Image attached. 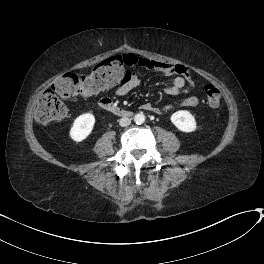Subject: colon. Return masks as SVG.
I'll use <instances>...</instances> for the list:
<instances>
[{
  "label": "colon",
  "instance_id": "5ec220e1",
  "mask_svg": "<svg viewBox=\"0 0 264 264\" xmlns=\"http://www.w3.org/2000/svg\"><path fill=\"white\" fill-rule=\"evenodd\" d=\"M131 55L114 56L100 62L89 75L69 72L59 77L50 88L44 91L35 111L36 120L48 125L62 119L67 114L63 99L88 96L120 84L128 67L133 66ZM195 86V82H192ZM206 101L212 108L221 102L220 91L208 83L204 87Z\"/></svg>",
  "mask_w": 264,
  "mask_h": 264
}]
</instances>
